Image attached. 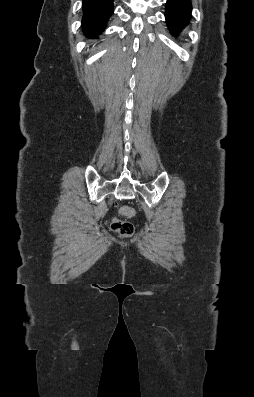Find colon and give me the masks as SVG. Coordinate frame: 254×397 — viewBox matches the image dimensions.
<instances>
[{
	"instance_id": "5ec220e1",
	"label": "colon",
	"mask_w": 254,
	"mask_h": 397,
	"mask_svg": "<svg viewBox=\"0 0 254 397\" xmlns=\"http://www.w3.org/2000/svg\"><path fill=\"white\" fill-rule=\"evenodd\" d=\"M135 214L134 209L123 205L118 208V216L111 221V229L122 238L131 237L134 233L133 224L127 220Z\"/></svg>"
}]
</instances>
